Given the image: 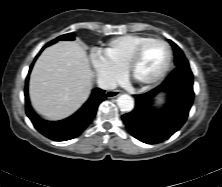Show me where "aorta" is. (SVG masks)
Returning <instances> with one entry per match:
<instances>
[{"label":"aorta","mask_w":222,"mask_h":187,"mask_svg":"<svg viewBox=\"0 0 222 187\" xmlns=\"http://www.w3.org/2000/svg\"><path fill=\"white\" fill-rule=\"evenodd\" d=\"M117 104L122 111L130 112L134 108V100L131 96L123 94L118 97Z\"/></svg>","instance_id":"aorta-1"}]
</instances>
